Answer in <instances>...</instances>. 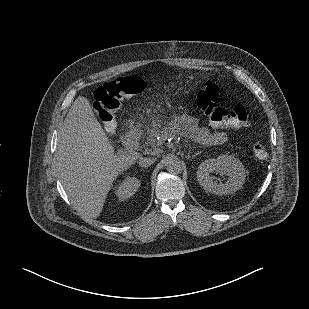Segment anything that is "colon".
<instances>
[{"mask_svg": "<svg viewBox=\"0 0 309 309\" xmlns=\"http://www.w3.org/2000/svg\"><path fill=\"white\" fill-rule=\"evenodd\" d=\"M145 89L146 82L135 75L120 77L98 88L95 101L107 131L116 129V114L124 100L142 93ZM197 105L213 127H239L248 122V112L242 104H236L232 109H226L221 105L219 88L211 81H207L199 90ZM253 150L258 159L267 158V149L263 144L256 143Z\"/></svg>", "mask_w": 309, "mask_h": 309, "instance_id": "obj_1", "label": "colon"}]
</instances>
